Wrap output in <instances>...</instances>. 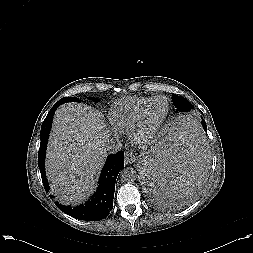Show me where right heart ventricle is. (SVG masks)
Segmentation results:
<instances>
[{"label": "right heart ventricle", "mask_w": 253, "mask_h": 253, "mask_svg": "<svg viewBox=\"0 0 253 253\" xmlns=\"http://www.w3.org/2000/svg\"><path fill=\"white\" fill-rule=\"evenodd\" d=\"M152 97L129 96L115 101L109 111V121L119 132H131L144 105Z\"/></svg>", "instance_id": "right-heart-ventricle-1"}]
</instances>
